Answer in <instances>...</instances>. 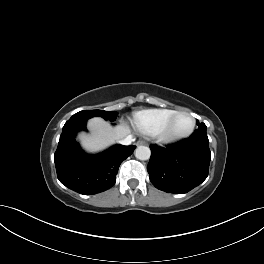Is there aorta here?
Wrapping results in <instances>:
<instances>
[{
    "mask_svg": "<svg viewBox=\"0 0 264 264\" xmlns=\"http://www.w3.org/2000/svg\"><path fill=\"white\" fill-rule=\"evenodd\" d=\"M150 156L151 151L147 146H138L135 150V157L139 160H148Z\"/></svg>",
    "mask_w": 264,
    "mask_h": 264,
    "instance_id": "762f6f07",
    "label": "aorta"
}]
</instances>
